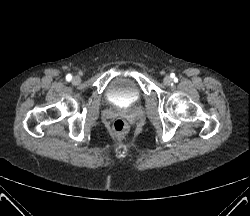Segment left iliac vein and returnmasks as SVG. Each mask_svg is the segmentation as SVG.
I'll use <instances>...</instances> for the list:
<instances>
[{"mask_svg": "<svg viewBox=\"0 0 250 216\" xmlns=\"http://www.w3.org/2000/svg\"><path fill=\"white\" fill-rule=\"evenodd\" d=\"M163 82L165 85H170L172 83V78L170 76H165Z\"/></svg>", "mask_w": 250, "mask_h": 216, "instance_id": "4c4485c4", "label": "left iliac vein"}]
</instances>
